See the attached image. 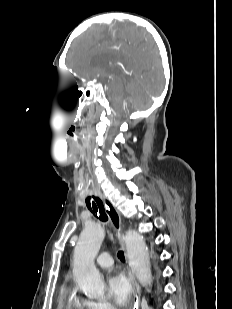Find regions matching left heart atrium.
Instances as JSON below:
<instances>
[{
	"label": "left heart atrium",
	"instance_id": "obj_1",
	"mask_svg": "<svg viewBox=\"0 0 232 309\" xmlns=\"http://www.w3.org/2000/svg\"><path fill=\"white\" fill-rule=\"evenodd\" d=\"M108 288L114 302L125 307L134 298V290L130 279L120 270H115L108 277Z\"/></svg>",
	"mask_w": 232,
	"mask_h": 309
}]
</instances>
